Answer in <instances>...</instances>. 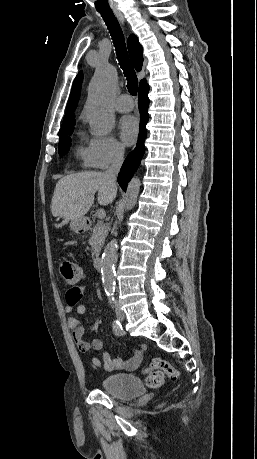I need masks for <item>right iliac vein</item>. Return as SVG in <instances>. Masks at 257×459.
Instances as JSON below:
<instances>
[{
    "mask_svg": "<svg viewBox=\"0 0 257 459\" xmlns=\"http://www.w3.org/2000/svg\"><path fill=\"white\" fill-rule=\"evenodd\" d=\"M118 318H119V319H121V316H120V314H118Z\"/></svg>",
    "mask_w": 257,
    "mask_h": 459,
    "instance_id": "63e3f726",
    "label": "right iliac vein"
}]
</instances>
